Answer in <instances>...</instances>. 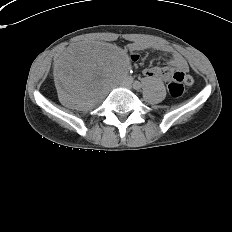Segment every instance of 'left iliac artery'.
Segmentation results:
<instances>
[{
	"label": "left iliac artery",
	"mask_w": 232,
	"mask_h": 232,
	"mask_svg": "<svg viewBox=\"0 0 232 232\" xmlns=\"http://www.w3.org/2000/svg\"><path fill=\"white\" fill-rule=\"evenodd\" d=\"M134 87H135L136 89H139V88L141 87V85H140V83H139L138 81H136V82L134 83Z\"/></svg>",
	"instance_id": "left-iliac-artery-1"
}]
</instances>
